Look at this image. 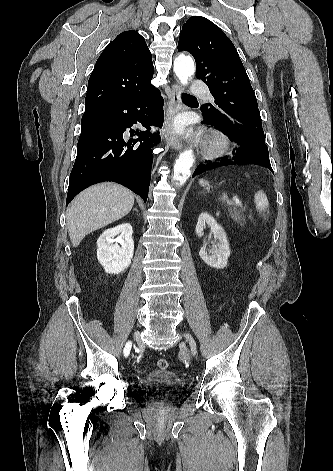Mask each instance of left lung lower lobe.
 <instances>
[{"instance_id":"1","label":"left lung lower lobe","mask_w":333,"mask_h":471,"mask_svg":"<svg viewBox=\"0 0 333 471\" xmlns=\"http://www.w3.org/2000/svg\"><path fill=\"white\" fill-rule=\"evenodd\" d=\"M204 124L214 125L216 128L223 130L222 127L210 121L206 116H204ZM225 132V131H224ZM227 133V132H225ZM228 134V133H227ZM230 138L238 144V148L235 156L232 158L224 159L219 162L207 163L204 165H199L193 173V177L199 175L207 170H211L221 166L235 165V164H256L268 168L273 174V170L269 160L268 148L264 144H244L239 140L232 137L228 134Z\"/></svg>"}]
</instances>
